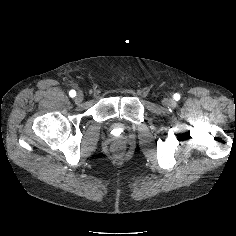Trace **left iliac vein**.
Here are the masks:
<instances>
[{
    "mask_svg": "<svg viewBox=\"0 0 236 236\" xmlns=\"http://www.w3.org/2000/svg\"><path fill=\"white\" fill-rule=\"evenodd\" d=\"M162 104L165 106L173 107L176 104V102L173 99L165 98L162 100Z\"/></svg>",
    "mask_w": 236,
    "mask_h": 236,
    "instance_id": "left-iliac-vein-1",
    "label": "left iliac vein"
}]
</instances>
